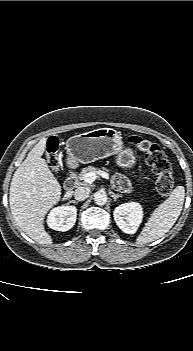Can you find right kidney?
I'll return each instance as SVG.
<instances>
[{
    "instance_id": "obj_1",
    "label": "right kidney",
    "mask_w": 193,
    "mask_h": 351,
    "mask_svg": "<svg viewBox=\"0 0 193 351\" xmlns=\"http://www.w3.org/2000/svg\"><path fill=\"white\" fill-rule=\"evenodd\" d=\"M77 219V209L74 206H58L53 208L47 217V224L56 231H68Z\"/></svg>"
}]
</instances>
